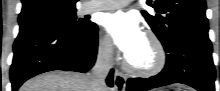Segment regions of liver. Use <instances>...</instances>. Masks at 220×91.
<instances>
[{
  "instance_id": "liver-1",
  "label": "liver",
  "mask_w": 220,
  "mask_h": 91,
  "mask_svg": "<svg viewBox=\"0 0 220 91\" xmlns=\"http://www.w3.org/2000/svg\"><path fill=\"white\" fill-rule=\"evenodd\" d=\"M88 74L55 71L26 81L19 91H93ZM105 91H109L106 90Z\"/></svg>"
}]
</instances>
